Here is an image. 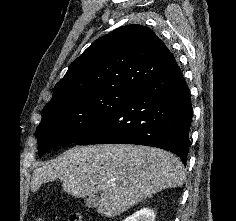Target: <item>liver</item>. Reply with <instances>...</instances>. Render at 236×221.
I'll use <instances>...</instances> for the list:
<instances>
[{"instance_id": "obj_1", "label": "liver", "mask_w": 236, "mask_h": 221, "mask_svg": "<svg viewBox=\"0 0 236 221\" xmlns=\"http://www.w3.org/2000/svg\"><path fill=\"white\" fill-rule=\"evenodd\" d=\"M182 162L163 149L130 144L74 147L33 172L31 190L60 179L63 190L84 198L100 194L97 212L116 217L145 198L183 185Z\"/></svg>"}]
</instances>
